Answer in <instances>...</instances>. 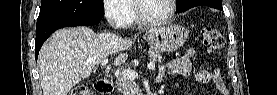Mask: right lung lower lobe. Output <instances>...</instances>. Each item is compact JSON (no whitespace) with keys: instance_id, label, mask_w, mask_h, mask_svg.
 <instances>
[{"instance_id":"obj_1","label":"right lung lower lobe","mask_w":277,"mask_h":95,"mask_svg":"<svg viewBox=\"0 0 277 95\" xmlns=\"http://www.w3.org/2000/svg\"><path fill=\"white\" fill-rule=\"evenodd\" d=\"M102 17H85V18H55L37 22L36 24V41L35 57L38 58L39 50L45 40L57 29L72 26H92L100 22Z\"/></svg>"}]
</instances>
